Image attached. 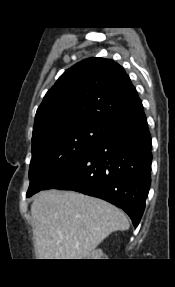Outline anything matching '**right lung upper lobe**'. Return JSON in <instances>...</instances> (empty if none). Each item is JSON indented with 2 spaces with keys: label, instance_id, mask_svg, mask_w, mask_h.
I'll use <instances>...</instances> for the list:
<instances>
[{
  "label": "right lung upper lobe",
  "instance_id": "right-lung-upper-lobe-1",
  "mask_svg": "<svg viewBox=\"0 0 175 287\" xmlns=\"http://www.w3.org/2000/svg\"><path fill=\"white\" fill-rule=\"evenodd\" d=\"M141 107L135 87L119 64L88 58L65 71L46 93L35 116L32 141L66 125H109Z\"/></svg>",
  "mask_w": 175,
  "mask_h": 287
}]
</instances>
